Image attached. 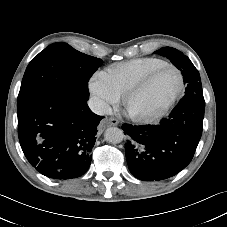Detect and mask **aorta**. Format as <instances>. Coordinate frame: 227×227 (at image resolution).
Segmentation results:
<instances>
[{"label":"aorta","instance_id":"aorta-1","mask_svg":"<svg viewBox=\"0 0 227 227\" xmlns=\"http://www.w3.org/2000/svg\"><path fill=\"white\" fill-rule=\"evenodd\" d=\"M124 138V133L117 127L107 128L104 133V139L112 144L120 143Z\"/></svg>","mask_w":227,"mask_h":227}]
</instances>
